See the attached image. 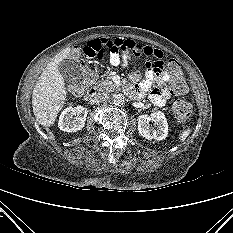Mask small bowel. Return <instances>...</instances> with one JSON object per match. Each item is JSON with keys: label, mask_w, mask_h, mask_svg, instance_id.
<instances>
[{"label": "small bowel", "mask_w": 233, "mask_h": 233, "mask_svg": "<svg viewBox=\"0 0 233 233\" xmlns=\"http://www.w3.org/2000/svg\"><path fill=\"white\" fill-rule=\"evenodd\" d=\"M80 52L86 59L102 58L109 54L110 62L115 66H126L135 56L142 54L153 58L145 64L146 72L144 78H140L139 73L132 72L129 77L133 87L130 93L137 97H142L145 92L151 89L149 94L150 101L156 106H164L167 99L174 93L168 88L167 81L170 73L165 68L164 54L161 50L150 46L121 38H98L88 41L80 47Z\"/></svg>", "instance_id": "1"}]
</instances>
